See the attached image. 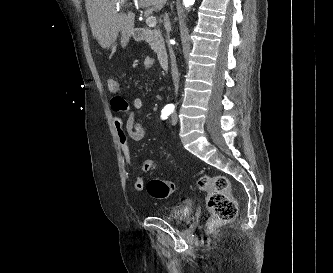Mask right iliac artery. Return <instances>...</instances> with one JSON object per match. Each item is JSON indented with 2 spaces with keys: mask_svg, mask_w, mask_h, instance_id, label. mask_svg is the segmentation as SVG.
Instances as JSON below:
<instances>
[{
  "mask_svg": "<svg viewBox=\"0 0 333 273\" xmlns=\"http://www.w3.org/2000/svg\"><path fill=\"white\" fill-rule=\"evenodd\" d=\"M174 111V107L171 106V105H166L163 109H162V112H161V118L163 120L167 119L168 116L173 113Z\"/></svg>",
  "mask_w": 333,
  "mask_h": 273,
  "instance_id": "right-iliac-artery-1",
  "label": "right iliac artery"
}]
</instances>
